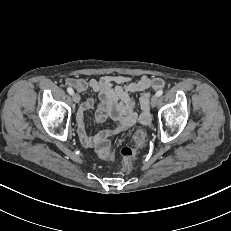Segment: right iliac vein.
<instances>
[{"instance_id":"1","label":"right iliac vein","mask_w":231,"mask_h":231,"mask_svg":"<svg viewBox=\"0 0 231 231\" xmlns=\"http://www.w3.org/2000/svg\"><path fill=\"white\" fill-rule=\"evenodd\" d=\"M72 98H73V101L75 103H79L80 102V96L78 94H73Z\"/></svg>"}]
</instances>
